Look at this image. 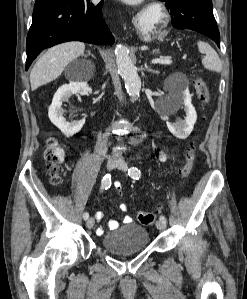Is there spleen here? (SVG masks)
Wrapping results in <instances>:
<instances>
[{
	"mask_svg": "<svg viewBox=\"0 0 247 299\" xmlns=\"http://www.w3.org/2000/svg\"><path fill=\"white\" fill-rule=\"evenodd\" d=\"M197 46L199 51L205 54V57L202 59L204 68L220 72L222 70V63L217 52L208 43L203 41H198Z\"/></svg>",
	"mask_w": 247,
	"mask_h": 299,
	"instance_id": "spleen-1",
	"label": "spleen"
}]
</instances>
